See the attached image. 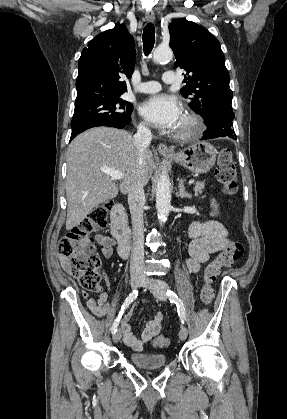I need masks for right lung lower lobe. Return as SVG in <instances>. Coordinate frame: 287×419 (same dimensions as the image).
I'll return each mask as SVG.
<instances>
[{
	"label": "right lung lower lobe",
	"mask_w": 287,
	"mask_h": 419,
	"mask_svg": "<svg viewBox=\"0 0 287 419\" xmlns=\"http://www.w3.org/2000/svg\"><path fill=\"white\" fill-rule=\"evenodd\" d=\"M127 125H128V124H119V123H112V122H98V123H93V124H90V125H88V126H86V127L82 128V129H81V130H79L78 132H76V133H74V134H71L70 141H71L74 137H76L78 134H80L81 132H83V131H85V130H87V129H89V128H92V127H97V126H109V127H115V128H120V129H122V128L126 127Z\"/></svg>",
	"instance_id": "98d812e1"
}]
</instances>
